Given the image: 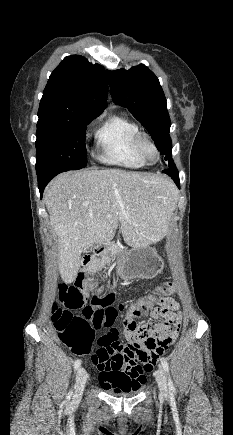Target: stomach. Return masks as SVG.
<instances>
[{
  "mask_svg": "<svg viewBox=\"0 0 233 435\" xmlns=\"http://www.w3.org/2000/svg\"><path fill=\"white\" fill-rule=\"evenodd\" d=\"M164 268V261L155 248L136 247L118 262L117 274L124 279H150Z\"/></svg>",
  "mask_w": 233,
  "mask_h": 435,
  "instance_id": "0dacf381",
  "label": "stomach"
}]
</instances>
